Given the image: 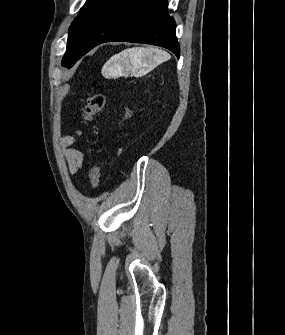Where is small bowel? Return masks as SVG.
Returning <instances> with one entry per match:
<instances>
[{
    "mask_svg": "<svg viewBox=\"0 0 285 335\" xmlns=\"http://www.w3.org/2000/svg\"><path fill=\"white\" fill-rule=\"evenodd\" d=\"M78 134H81V132L79 131ZM73 141L74 137L66 136L62 140V145L65 148V156L71 167V172L74 173L80 169L83 161V155L79 150L70 147Z\"/></svg>",
    "mask_w": 285,
    "mask_h": 335,
    "instance_id": "obj_1",
    "label": "small bowel"
}]
</instances>
